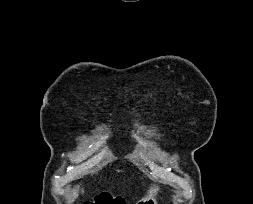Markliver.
Returning <instances> with one entry per match:
<instances>
[{
    "instance_id": "6515ba94",
    "label": "liver",
    "mask_w": 253,
    "mask_h": 204,
    "mask_svg": "<svg viewBox=\"0 0 253 204\" xmlns=\"http://www.w3.org/2000/svg\"><path fill=\"white\" fill-rule=\"evenodd\" d=\"M79 187L74 189L69 196L68 204H71L78 196Z\"/></svg>"
}]
</instances>
